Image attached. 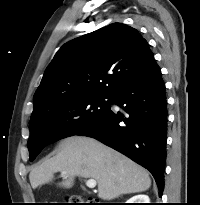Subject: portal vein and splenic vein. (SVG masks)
Returning <instances> with one entry per match:
<instances>
[{
    "instance_id": "obj_1",
    "label": "portal vein and splenic vein",
    "mask_w": 200,
    "mask_h": 205,
    "mask_svg": "<svg viewBox=\"0 0 200 205\" xmlns=\"http://www.w3.org/2000/svg\"><path fill=\"white\" fill-rule=\"evenodd\" d=\"M86 186L88 187V188H95V186H96V180H94V179H89V180H87L86 181Z\"/></svg>"
}]
</instances>
